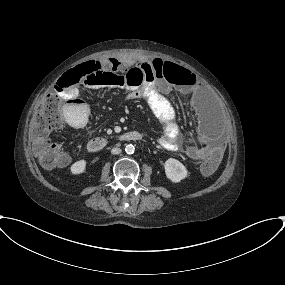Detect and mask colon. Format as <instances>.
<instances>
[{"instance_id": "obj_1", "label": "colon", "mask_w": 285, "mask_h": 285, "mask_svg": "<svg viewBox=\"0 0 285 285\" xmlns=\"http://www.w3.org/2000/svg\"><path fill=\"white\" fill-rule=\"evenodd\" d=\"M173 73L169 63L158 67L159 78H168ZM88 80H103L113 87L125 89L129 92H138L144 88L145 76L139 66H133L121 71L115 59L106 58L100 60H88L66 71L60 78L59 84H65L67 88L86 82ZM87 120H82L80 126H84ZM65 125L63 103L56 93L49 94L41 108L30 120L29 137L32 152L39 165L43 169L61 167L68 163V155L59 146L50 142V135ZM222 155L215 153L201 165L204 175H210L217 169Z\"/></svg>"}]
</instances>
